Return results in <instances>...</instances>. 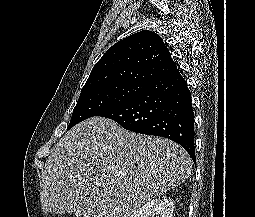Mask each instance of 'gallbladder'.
<instances>
[{
    "label": "gallbladder",
    "instance_id": "bac80fb5",
    "mask_svg": "<svg viewBox=\"0 0 255 217\" xmlns=\"http://www.w3.org/2000/svg\"><path fill=\"white\" fill-rule=\"evenodd\" d=\"M73 217H81L80 215H76L75 213L73 214Z\"/></svg>",
    "mask_w": 255,
    "mask_h": 217
}]
</instances>
